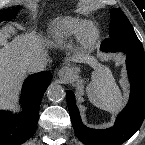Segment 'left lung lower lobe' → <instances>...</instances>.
<instances>
[{"label":"left lung lower lobe","mask_w":145,"mask_h":145,"mask_svg":"<svg viewBox=\"0 0 145 145\" xmlns=\"http://www.w3.org/2000/svg\"><path fill=\"white\" fill-rule=\"evenodd\" d=\"M101 49L107 48L105 41ZM127 53L126 65L131 84L130 98L125 109L118 115L115 125L109 129H92L86 127L75 104L74 93L67 90V105L74 131L78 139L86 145H120L134 135L140 128L145 116V57Z\"/></svg>","instance_id":"1"}]
</instances>
